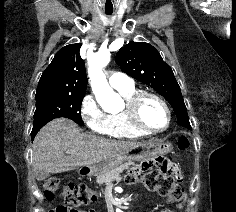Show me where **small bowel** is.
Returning a JSON list of instances; mask_svg holds the SVG:
<instances>
[{"mask_svg":"<svg viewBox=\"0 0 236 212\" xmlns=\"http://www.w3.org/2000/svg\"><path fill=\"white\" fill-rule=\"evenodd\" d=\"M80 212H85V211H80ZM92 212V211H91ZM164 212H171V211H164Z\"/></svg>","mask_w":236,"mask_h":212,"instance_id":"obj_1","label":"small bowel"}]
</instances>
